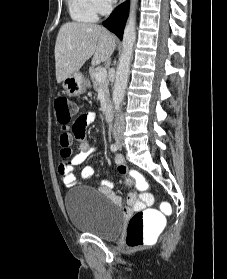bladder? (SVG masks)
Returning a JSON list of instances; mask_svg holds the SVG:
<instances>
[{
  "instance_id": "1",
  "label": "bladder",
  "mask_w": 227,
  "mask_h": 279,
  "mask_svg": "<svg viewBox=\"0 0 227 279\" xmlns=\"http://www.w3.org/2000/svg\"><path fill=\"white\" fill-rule=\"evenodd\" d=\"M64 206L72 225L79 230L104 240H113L122 232L123 217L106 194L91 193L88 186H83L80 191L67 193Z\"/></svg>"
}]
</instances>
